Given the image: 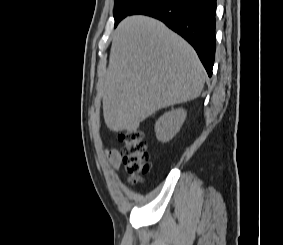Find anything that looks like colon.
<instances>
[{
	"label": "colon",
	"instance_id": "obj_1",
	"mask_svg": "<svg viewBox=\"0 0 283 245\" xmlns=\"http://www.w3.org/2000/svg\"><path fill=\"white\" fill-rule=\"evenodd\" d=\"M123 142L122 160L129 180L136 184L150 169L149 155L144 135L139 130L125 131L119 135Z\"/></svg>",
	"mask_w": 283,
	"mask_h": 245
}]
</instances>
